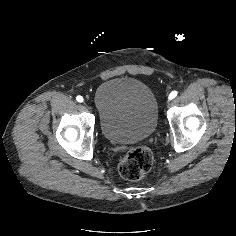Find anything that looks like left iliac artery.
<instances>
[{
    "label": "left iliac artery",
    "instance_id": "1",
    "mask_svg": "<svg viewBox=\"0 0 236 236\" xmlns=\"http://www.w3.org/2000/svg\"><path fill=\"white\" fill-rule=\"evenodd\" d=\"M178 92L177 91H172L170 94H169V97H172V98H175L177 96ZM168 97V98H169Z\"/></svg>",
    "mask_w": 236,
    "mask_h": 236
}]
</instances>
